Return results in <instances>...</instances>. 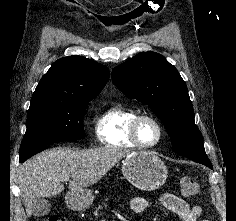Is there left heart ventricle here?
<instances>
[{"instance_id": "1", "label": "left heart ventricle", "mask_w": 236, "mask_h": 221, "mask_svg": "<svg viewBox=\"0 0 236 221\" xmlns=\"http://www.w3.org/2000/svg\"><path fill=\"white\" fill-rule=\"evenodd\" d=\"M138 135L144 144H151L157 140L158 130L154 123L149 120H144L139 126Z\"/></svg>"}]
</instances>
